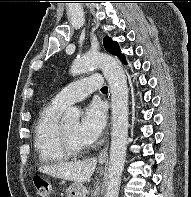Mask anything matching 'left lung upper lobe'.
Wrapping results in <instances>:
<instances>
[{
    "label": "left lung upper lobe",
    "mask_w": 191,
    "mask_h": 197,
    "mask_svg": "<svg viewBox=\"0 0 191 197\" xmlns=\"http://www.w3.org/2000/svg\"><path fill=\"white\" fill-rule=\"evenodd\" d=\"M103 45L105 47V49L113 54V55H116L118 56L121 60H123V62L125 63V58L124 56L120 53V48H119V45L117 42L115 41H112V39L108 36H106L104 39H103Z\"/></svg>",
    "instance_id": "5c2ea615"
}]
</instances>
